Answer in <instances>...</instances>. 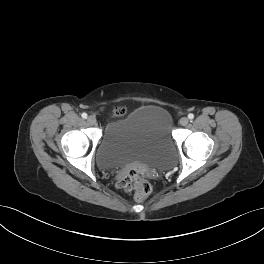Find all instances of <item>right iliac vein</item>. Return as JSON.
<instances>
[{"instance_id": "63e3f726", "label": "right iliac vein", "mask_w": 264, "mask_h": 264, "mask_svg": "<svg viewBox=\"0 0 264 264\" xmlns=\"http://www.w3.org/2000/svg\"><path fill=\"white\" fill-rule=\"evenodd\" d=\"M87 122L90 124V125H96L97 124V120L94 116H89L87 118Z\"/></svg>"}]
</instances>
